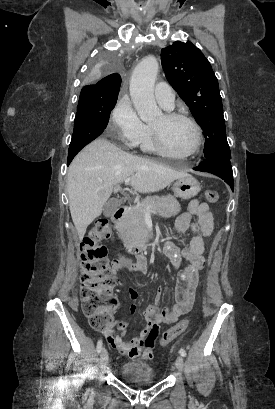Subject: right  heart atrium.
Segmentation results:
<instances>
[{
  "label": "right heart atrium",
  "mask_w": 275,
  "mask_h": 409,
  "mask_svg": "<svg viewBox=\"0 0 275 409\" xmlns=\"http://www.w3.org/2000/svg\"><path fill=\"white\" fill-rule=\"evenodd\" d=\"M114 143H126V152H134L144 134L145 124L127 100H120L111 112Z\"/></svg>",
  "instance_id": "right-heart-atrium-1"
}]
</instances>
